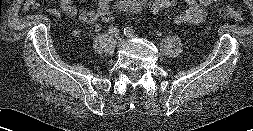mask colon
<instances>
[{
	"label": "colon",
	"instance_id": "5ec220e1",
	"mask_svg": "<svg viewBox=\"0 0 253 131\" xmlns=\"http://www.w3.org/2000/svg\"><path fill=\"white\" fill-rule=\"evenodd\" d=\"M177 5H178L177 0H152L149 7L154 12H162L170 10L172 8H176ZM219 12L223 17L232 19L236 22H242L244 19L243 12L233 7L221 8ZM100 19L106 25H111L115 21V15L109 9L101 14Z\"/></svg>",
	"mask_w": 253,
	"mask_h": 131
}]
</instances>
